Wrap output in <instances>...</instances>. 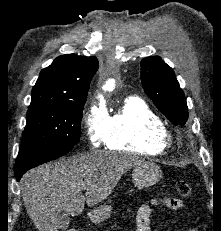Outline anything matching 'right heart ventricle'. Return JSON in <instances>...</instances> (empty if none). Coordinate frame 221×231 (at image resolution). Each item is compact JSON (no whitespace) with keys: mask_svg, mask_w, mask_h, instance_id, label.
<instances>
[{"mask_svg":"<svg viewBox=\"0 0 221 231\" xmlns=\"http://www.w3.org/2000/svg\"><path fill=\"white\" fill-rule=\"evenodd\" d=\"M163 120L138 97H129L109 116L105 146L110 150L159 155L165 149Z\"/></svg>","mask_w":221,"mask_h":231,"instance_id":"e07e8e85","label":"right heart ventricle"}]
</instances>
